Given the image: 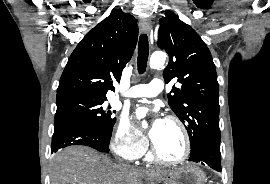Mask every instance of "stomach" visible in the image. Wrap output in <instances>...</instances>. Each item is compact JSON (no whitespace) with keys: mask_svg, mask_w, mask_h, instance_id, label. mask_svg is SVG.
<instances>
[{"mask_svg":"<svg viewBox=\"0 0 270 184\" xmlns=\"http://www.w3.org/2000/svg\"><path fill=\"white\" fill-rule=\"evenodd\" d=\"M165 184H205L204 173L195 165L187 164L164 173Z\"/></svg>","mask_w":270,"mask_h":184,"instance_id":"1","label":"stomach"}]
</instances>
